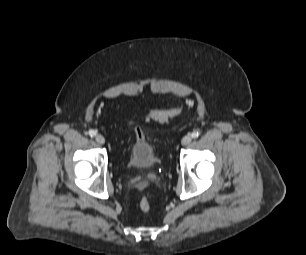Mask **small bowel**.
<instances>
[{"label":"small bowel","mask_w":306,"mask_h":255,"mask_svg":"<svg viewBox=\"0 0 306 255\" xmlns=\"http://www.w3.org/2000/svg\"><path fill=\"white\" fill-rule=\"evenodd\" d=\"M137 136H138L139 138H141V132H140V131H137Z\"/></svg>","instance_id":"small-bowel-1"}]
</instances>
